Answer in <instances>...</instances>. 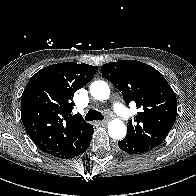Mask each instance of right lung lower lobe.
Masks as SVG:
<instances>
[{"instance_id": "obj_1", "label": "right lung lower lobe", "mask_w": 196, "mask_h": 196, "mask_svg": "<svg viewBox=\"0 0 196 196\" xmlns=\"http://www.w3.org/2000/svg\"><path fill=\"white\" fill-rule=\"evenodd\" d=\"M93 131V126H90L71 146L53 156L61 159H69L82 154L90 145Z\"/></svg>"}]
</instances>
